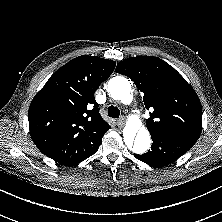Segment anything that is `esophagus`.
I'll return each mask as SVG.
<instances>
[{"label":"esophagus","instance_id":"esophagus-1","mask_svg":"<svg viewBox=\"0 0 222 222\" xmlns=\"http://www.w3.org/2000/svg\"><path fill=\"white\" fill-rule=\"evenodd\" d=\"M124 123H125V118H124V117H121V118H119V119L117 120V125H118L119 127H122V126L124 125Z\"/></svg>","mask_w":222,"mask_h":222}]
</instances>
